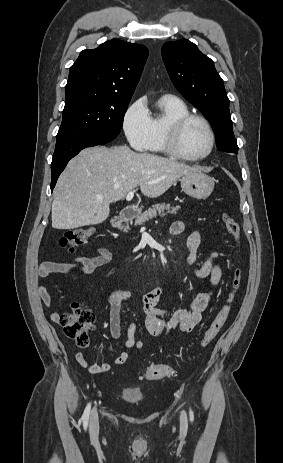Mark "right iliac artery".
I'll return each mask as SVG.
<instances>
[{
	"mask_svg": "<svg viewBox=\"0 0 283 463\" xmlns=\"http://www.w3.org/2000/svg\"><path fill=\"white\" fill-rule=\"evenodd\" d=\"M90 409H91V404L89 403V404L87 405V407L85 408V411H84V413H83V415H82V421H83L84 429H86V428H87V425H88Z\"/></svg>",
	"mask_w": 283,
	"mask_h": 463,
	"instance_id": "82829eb1",
	"label": "right iliac artery"
}]
</instances>
